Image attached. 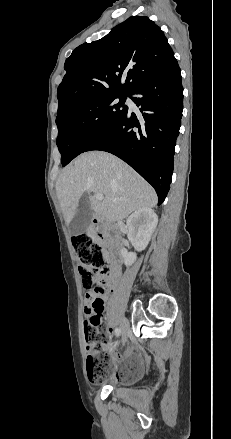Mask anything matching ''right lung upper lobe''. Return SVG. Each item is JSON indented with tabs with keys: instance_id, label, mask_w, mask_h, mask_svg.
<instances>
[{
	"instance_id": "obj_1",
	"label": "right lung upper lobe",
	"mask_w": 231,
	"mask_h": 439,
	"mask_svg": "<svg viewBox=\"0 0 231 439\" xmlns=\"http://www.w3.org/2000/svg\"><path fill=\"white\" fill-rule=\"evenodd\" d=\"M173 59L160 27L146 16H132L100 40L78 46L66 59L57 115L84 100L131 94Z\"/></svg>"
}]
</instances>
